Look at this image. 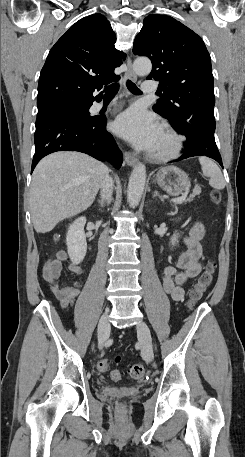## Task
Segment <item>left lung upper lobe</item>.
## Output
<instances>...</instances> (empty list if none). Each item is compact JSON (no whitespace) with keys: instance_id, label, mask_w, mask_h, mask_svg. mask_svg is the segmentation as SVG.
Here are the masks:
<instances>
[{"instance_id":"1","label":"left lung upper lobe","mask_w":245,"mask_h":457,"mask_svg":"<svg viewBox=\"0 0 245 457\" xmlns=\"http://www.w3.org/2000/svg\"><path fill=\"white\" fill-rule=\"evenodd\" d=\"M133 53L151 59L153 69L147 79L159 81L164 90L153 107L155 112L172 124L197 112H214L211 59L195 32L170 16L148 15Z\"/></svg>"}]
</instances>
